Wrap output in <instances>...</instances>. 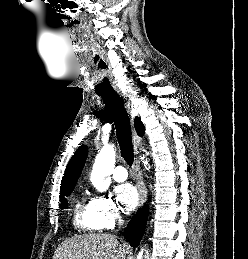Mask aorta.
Wrapping results in <instances>:
<instances>
[{
    "instance_id": "1",
    "label": "aorta",
    "mask_w": 248,
    "mask_h": 259,
    "mask_svg": "<svg viewBox=\"0 0 248 259\" xmlns=\"http://www.w3.org/2000/svg\"><path fill=\"white\" fill-rule=\"evenodd\" d=\"M115 157L116 152L114 147L106 145L101 149L95 159L90 180L94 187L100 192H104L109 188V176L115 166ZM144 164L147 165V162H144ZM146 258L147 257H145V259Z\"/></svg>"
}]
</instances>
